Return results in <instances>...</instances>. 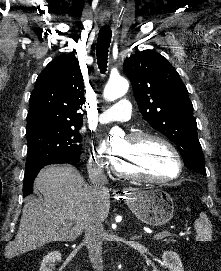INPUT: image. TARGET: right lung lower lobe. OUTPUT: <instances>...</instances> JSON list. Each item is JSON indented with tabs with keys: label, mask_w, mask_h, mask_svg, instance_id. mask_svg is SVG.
<instances>
[{
	"label": "right lung lower lobe",
	"mask_w": 221,
	"mask_h": 271,
	"mask_svg": "<svg viewBox=\"0 0 221 271\" xmlns=\"http://www.w3.org/2000/svg\"><path fill=\"white\" fill-rule=\"evenodd\" d=\"M76 163H78V161ZM76 163H68V164H76ZM50 164H56V163H50ZM50 164H43V165L26 167L25 177H24V185H23V196L24 197L33 192V182H34L35 177L39 173L40 169L43 168L44 166H47Z\"/></svg>",
	"instance_id": "right-lung-lower-lobe-1"
}]
</instances>
